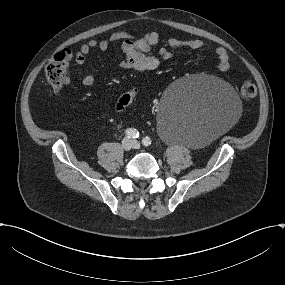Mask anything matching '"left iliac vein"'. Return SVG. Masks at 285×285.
I'll return each mask as SVG.
<instances>
[{
    "instance_id": "4c4485c4",
    "label": "left iliac vein",
    "mask_w": 285,
    "mask_h": 285,
    "mask_svg": "<svg viewBox=\"0 0 285 285\" xmlns=\"http://www.w3.org/2000/svg\"><path fill=\"white\" fill-rule=\"evenodd\" d=\"M133 143H134V146H133V148H135V149H140V143L138 142V141H136V140H133Z\"/></svg>"
}]
</instances>
